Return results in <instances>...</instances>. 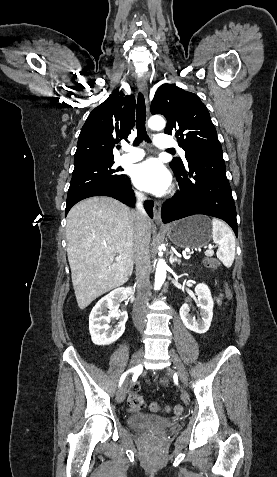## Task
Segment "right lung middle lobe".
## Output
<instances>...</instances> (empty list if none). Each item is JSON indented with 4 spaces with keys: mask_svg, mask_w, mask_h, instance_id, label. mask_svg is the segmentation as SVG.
<instances>
[{
    "mask_svg": "<svg viewBox=\"0 0 277 477\" xmlns=\"http://www.w3.org/2000/svg\"><path fill=\"white\" fill-rule=\"evenodd\" d=\"M114 161L89 163L75 167L68 190L67 199L80 191L100 184L122 185L128 177L121 172L123 169L115 168Z\"/></svg>",
    "mask_w": 277,
    "mask_h": 477,
    "instance_id": "dd1d6c3e",
    "label": "right lung middle lobe"
}]
</instances>
